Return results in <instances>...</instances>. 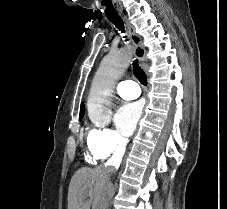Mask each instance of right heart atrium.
<instances>
[{"mask_svg":"<svg viewBox=\"0 0 227 209\" xmlns=\"http://www.w3.org/2000/svg\"><path fill=\"white\" fill-rule=\"evenodd\" d=\"M88 145L97 150L103 159L122 154L128 140L119 132L107 128H92L87 134Z\"/></svg>","mask_w":227,"mask_h":209,"instance_id":"obj_1","label":"right heart atrium"}]
</instances>
